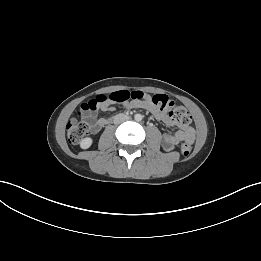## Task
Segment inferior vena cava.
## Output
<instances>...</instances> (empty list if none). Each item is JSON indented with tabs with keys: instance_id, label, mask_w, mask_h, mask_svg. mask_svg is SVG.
Returning a JSON list of instances; mask_svg holds the SVG:
<instances>
[{
	"instance_id": "obj_1",
	"label": "inferior vena cava",
	"mask_w": 261,
	"mask_h": 261,
	"mask_svg": "<svg viewBox=\"0 0 261 261\" xmlns=\"http://www.w3.org/2000/svg\"><path fill=\"white\" fill-rule=\"evenodd\" d=\"M127 119H128V116H126V115H124V114H119V115H117V116L115 117L114 122H115V123H120V122H123V121H125V120H127Z\"/></svg>"
}]
</instances>
